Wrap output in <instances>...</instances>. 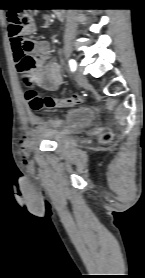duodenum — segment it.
I'll list each match as a JSON object with an SVG mask.
<instances>
[{"label": "duodenum", "instance_id": "410a0bca", "mask_svg": "<svg viewBox=\"0 0 145 278\" xmlns=\"http://www.w3.org/2000/svg\"><path fill=\"white\" fill-rule=\"evenodd\" d=\"M64 12L61 9H57L55 12V18L57 20H63Z\"/></svg>", "mask_w": 145, "mask_h": 278}]
</instances>
